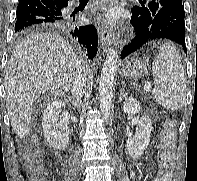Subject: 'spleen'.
Masks as SVG:
<instances>
[{"label":"spleen","instance_id":"1","mask_svg":"<svg viewBox=\"0 0 197 181\" xmlns=\"http://www.w3.org/2000/svg\"><path fill=\"white\" fill-rule=\"evenodd\" d=\"M154 95L158 104L169 110H178L186 100V85L181 58L176 49L164 43L152 63Z\"/></svg>","mask_w":197,"mask_h":181}]
</instances>
